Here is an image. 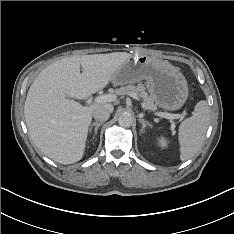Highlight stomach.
Returning <instances> with one entry per match:
<instances>
[{
  "label": "stomach",
  "instance_id": "0dacf381",
  "mask_svg": "<svg viewBox=\"0 0 234 234\" xmlns=\"http://www.w3.org/2000/svg\"><path fill=\"white\" fill-rule=\"evenodd\" d=\"M146 80V88L155 105L178 110L188 98V84L178 68L166 60L138 55L130 57L112 76L114 85Z\"/></svg>",
  "mask_w": 234,
  "mask_h": 234
}]
</instances>
